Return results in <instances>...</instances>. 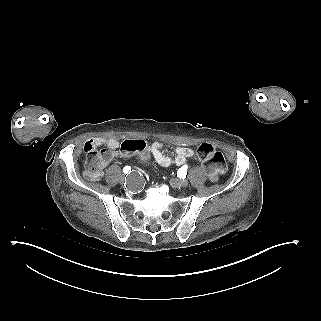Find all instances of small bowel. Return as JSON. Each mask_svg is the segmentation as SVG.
Listing matches in <instances>:
<instances>
[{
	"mask_svg": "<svg viewBox=\"0 0 321 321\" xmlns=\"http://www.w3.org/2000/svg\"><path fill=\"white\" fill-rule=\"evenodd\" d=\"M105 146L102 151L104 155L102 168L94 178H98L103 174V168L115 157H123L128 154L119 150L120 142L110 137H94L86 141L84 144L85 151L95 149L98 146ZM149 151L153 159L162 166L177 165L181 166L194 156V151L190 148L177 146L173 148V153L164 151V144L155 142L150 145Z\"/></svg>",
	"mask_w": 321,
	"mask_h": 321,
	"instance_id": "obj_1",
	"label": "small bowel"
}]
</instances>
